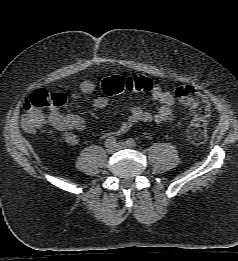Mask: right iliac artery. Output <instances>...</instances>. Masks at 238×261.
Here are the masks:
<instances>
[{"mask_svg":"<svg viewBox=\"0 0 238 261\" xmlns=\"http://www.w3.org/2000/svg\"><path fill=\"white\" fill-rule=\"evenodd\" d=\"M115 144H116V138L113 137V136L109 137V138L106 139V141H105V146H106V147H110V146H113V145H115Z\"/></svg>","mask_w":238,"mask_h":261,"instance_id":"right-iliac-artery-1","label":"right iliac artery"}]
</instances>
